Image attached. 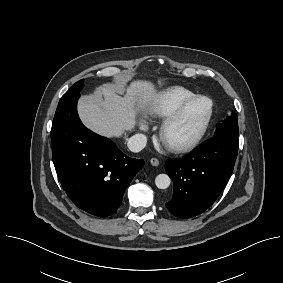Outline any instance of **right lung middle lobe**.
Wrapping results in <instances>:
<instances>
[{
    "mask_svg": "<svg viewBox=\"0 0 283 283\" xmlns=\"http://www.w3.org/2000/svg\"><path fill=\"white\" fill-rule=\"evenodd\" d=\"M83 80H80L78 82H76L63 96L61 99H65L68 98L72 95H75L76 93H78L82 87H83Z\"/></svg>",
    "mask_w": 283,
    "mask_h": 283,
    "instance_id": "dd1d6c3e",
    "label": "right lung middle lobe"
}]
</instances>
